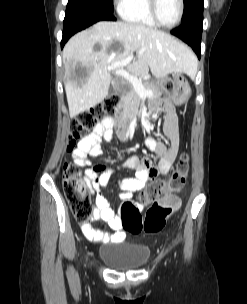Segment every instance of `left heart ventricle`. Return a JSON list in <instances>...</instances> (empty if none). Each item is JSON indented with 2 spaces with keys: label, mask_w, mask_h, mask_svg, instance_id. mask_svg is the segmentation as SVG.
<instances>
[{
  "label": "left heart ventricle",
  "mask_w": 247,
  "mask_h": 304,
  "mask_svg": "<svg viewBox=\"0 0 247 304\" xmlns=\"http://www.w3.org/2000/svg\"><path fill=\"white\" fill-rule=\"evenodd\" d=\"M158 16L160 21L165 25L173 24L179 15L178 0H158Z\"/></svg>",
  "instance_id": "b2bd125f"
}]
</instances>
